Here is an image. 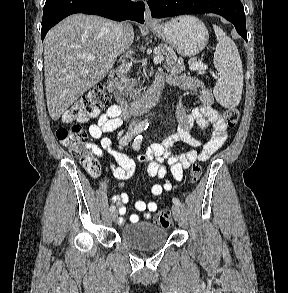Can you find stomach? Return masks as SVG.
Here are the masks:
<instances>
[{
    "mask_svg": "<svg viewBox=\"0 0 288 293\" xmlns=\"http://www.w3.org/2000/svg\"><path fill=\"white\" fill-rule=\"evenodd\" d=\"M150 30L183 56L200 53L207 45L209 33L202 21L194 16H180L165 23L149 26Z\"/></svg>",
    "mask_w": 288,
    "mask_h": 293,
    "instance_id": "0dacf381",
    "label": "stomach"
}]
</instances>
